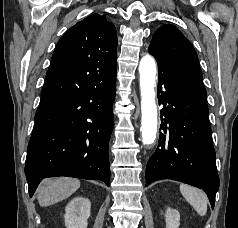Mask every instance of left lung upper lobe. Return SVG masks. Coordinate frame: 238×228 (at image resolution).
Masks as SVG:
<instances>
[{"label": "left lung upper lobe", "mask_w": 238, "mask_h": 228, "mask_svg": "<svg viewBox=\"0 0 238 228\" xmlns=\"http://www.w3.org/2000/svg\"><path fill=\"white\" fill-rule=\"evenodd\" d=\"M158 64L206 94L198 56L192 44L173 25H163L153 35L148 49Z\"/></svg>", "instance_id": "obj_1"}]
</instances>
